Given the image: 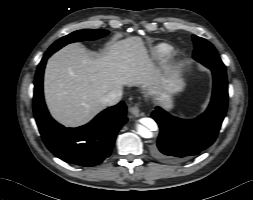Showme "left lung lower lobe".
Listing matches in <instances>:
<instances>
[{"instance_id":"left-lung-lower-lobe-1","label":"left lung lower lobe","mask_w":253,"mask_h":200,"mask_svg":"<svg viewBox=\"0 0 253 200\" xmlns=\"http://www.w3.org/2000/svg\"><path fill=\"white\" fill-rule=\"evenodd\" d=\"M213 93L209 107L196 119L184 120L171 116L160 107L151 116L160 133L152 147V155L164 162L178 163L208 148L216 139L225 117L228 101L226 72L211 69Z\"/></svg>"}]
</instances>
